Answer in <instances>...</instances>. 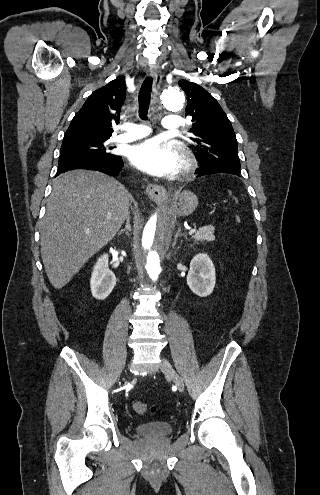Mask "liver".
<instances>
[{
	"label": "liver",
	"mask_w": 320,
	"mask_h": 495,
	"mask_svg": "<svg viewBox=\"0 0 320 495\" xmlns=\"http://www.w3.org/2000/svg\"><path fill=\"white\" fill-rule=\"evenodd\" d=\"M128 215L129 193L115 179L87 170L59 175L40 229L41 257L54 288L69 283Z\"/></svg>",
	"instance_id": "6515ba94"
}]
</instances>
